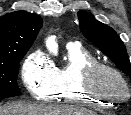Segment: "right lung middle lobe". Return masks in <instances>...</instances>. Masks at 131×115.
Returning <instances> with one entry per match:
<instances>
[{
	"label": "right lung middle lobe",
	"instance_id": "right-lung-middle-lobe-1",
	"mask_svg": "<svg viewBox=\"0 0 131 115\" xmlns=\"http://www.w3.org/2000/svg\"><path fill=\"white\" fill-rule=\"evenodd\" d=\"M27 51L11 54L9 60L0 62V101L21 94L17 85L19 62Z\"/></svg>",
	"mask_w": 131,
	"mask_h": 115
}]
</instances>
